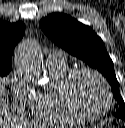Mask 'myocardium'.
Listing matches in <instances>:
<instances>
[{
  "label": "myocardium",
  "instance_id": "myocardium-1",
  "mask_svg": "<svg viewBox=\"0 0 125 128\" xmlns=\"http://www.w3.org/2000/svg\"><path fill=\"white\" fill-rule=\"evenodd\" d=\"M91 75L94 78H96L105 93L106 96V105L102 112L98 114H88L84 112L76 103L74 96H73V87L77 79L82 75ZM61 95L63 98V101L65 102L68 109L79 119L83 121H96L108 114V112L111 109L113 96L109 87L108 82L106 79L96 70H93L91 68H77L71 71V73L67 76L65 81L63 82L61 86Z\"/></svg>",
  "mask_w": 125,
  "mask_h": 128
}]
</instances>
